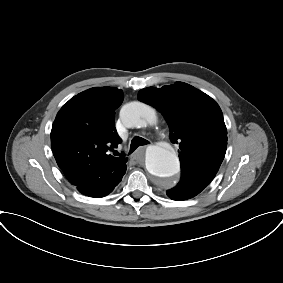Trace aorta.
<instances>
[{
    "label": "aorta",
    "mask_w": 283,
    "mask_h": 283,
    "mask_svg": "<svg viewBox=\"0 0 283 283\" xmlns=\"http://www.w3.org/2000/svg\"><path fill=\"white\" fill-rule=\"evenodd\" d=\"M121 118L128 127L142 128L157 120L156 111L142 102L126 104L121 109ZM146 169L154 177L160 179L164 186L171 187L174 181L170 179L180 171V162L174 150L166 145H151L146 150Z\"/></svg>",
    "instance_id": "aorta-1"
}]
</instances>
